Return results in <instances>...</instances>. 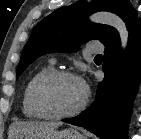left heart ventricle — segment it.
<instances>
[{
  "label": "left heart ventricle",
  "instance_id": "1",
  "mask_svg": "<svg viewBox=\"0 0 141 139\" xmlns=\"http://www.w3.org/2000/svg\"><path fill=\"white\" fill-rule=\"evenodd\" d=\"M44 98L47 106L53 112H67L81 102L83 88L76 79L68 77L58 78L46 86Z\"/></svg>",
  "mask_w": 141,
  "mask_h": 139
}]
</instances>
